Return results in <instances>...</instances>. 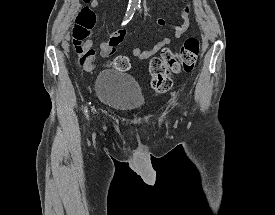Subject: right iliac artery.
<instances>
[{
	"label": "right iliac artery",
	"instance_id": "1",
	"mask_svg": "<svg viewBox=\"0 0 275 215\" xmlns=\"http://www.w3.org/2000/svg\"><path fill=\"white\" fill-rule=\"evenodd\" d=\"M136 7H128L127 12L125 14L124 20L122 22V26L126 25L133 17ZM85 114L87 113V107L84 108Z\"/></svg>",
	"mask_w": 275,
	"mask_h": 215
}]
</instances>
